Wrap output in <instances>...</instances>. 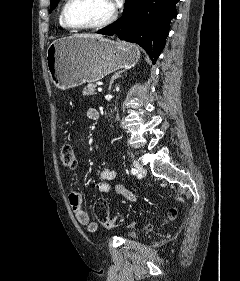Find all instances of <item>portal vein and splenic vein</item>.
Returning a JSON list of instances; mask_svg holds the SVG:
<instances>
[{"label": "portal vein and splenic vein", "mask_w": 240, "mask_h": 281, "mask_svg": "<svg viewBox=\"0 0 240 281\" xmlns=\"http://www.w3.org/2000/svg\"><path fill=\"white\" fill-rule=\"evenodd\" d=\"M98 92H102V88L101 87L98 88Z\"/></svg>", "instance_id": "18ae733b"}]
</instances>
